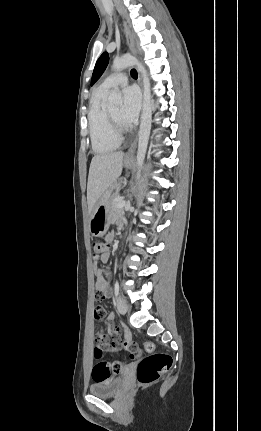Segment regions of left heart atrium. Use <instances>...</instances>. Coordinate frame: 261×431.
I'll list each match as a JSON object with an SVG mask.
<instances>
[{
	"mask_svg": "<svg viewBox=\"0 0 261 431\" xmlns=\"http://www.w3.org/2000/svg\"><path fill=\"white\" fill-rule=\"evenodd\" d=\"M123 105L120 112L121 123L129 127L137 119L140 110V93L138 89L134 86H127L122 91Z\"/></svg>",
	"mask_w": 261,
	"mask_h": 431,
	"instance_id": "left-heart-atrium-1",
	"label": "left heart atrium"
}]
</instances>
